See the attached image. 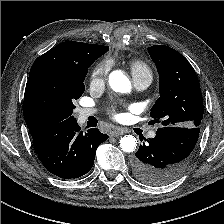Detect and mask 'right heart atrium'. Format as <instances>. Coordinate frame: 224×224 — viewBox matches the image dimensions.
Here are the masks:
<instances>
[{"mask_svg": "<svg viewBox=\"0 0 224 224\" xmlns=\"http://www.w3.org/2000/svg\"><path fill=\"white\" fill-rule=\"evenodd\" d=\"M110 64L108 62L98 63L90 74V85L92 87L103 86L108 78Z\"/></svg>", "mask_w": 224, "mask_h": 224, "instance_id": "d8ad5b80", "label": "right heart atrium"}]
</instances>
